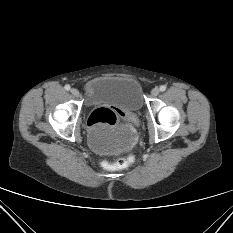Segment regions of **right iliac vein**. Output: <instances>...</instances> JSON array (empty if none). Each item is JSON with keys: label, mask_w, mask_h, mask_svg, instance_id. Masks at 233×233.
<instances>
[{"label": "right iliac vein", "mask_w": 233, "mask_h": 233, "mask_svg": "<svg viewBox=\"0 0 233 233\" xmlns=\"http://www.w3.org/2000/svg\"><path fill=\"white\" fill-rule=\"evenodd\" d=\"M71 94L75 97H78L79 96V91L76 89V88H72L71 89Z\"/></svg>", "instance_id": "right-iliac-vein-1"}]
</instances>
